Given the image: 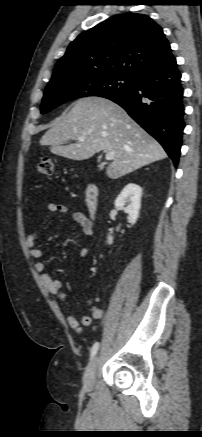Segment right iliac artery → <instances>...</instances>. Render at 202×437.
<instances>
[{
  "instance_id": "right-iliac-artery-1",
  "label": "right iliac artery",
  "mask_w": 202,
  "mask_h": 437,
  "mask_svg": "<svg viewBox=\"0 0 202 437\" xmlns=\"http://www.w3.org/2000/svg\"><path fill=\"white\" fill-rule=\"evenodd\" d=\"M99 349V343H95L90 351V357L93 358Z\"/></svg>"
}]
</instances>
